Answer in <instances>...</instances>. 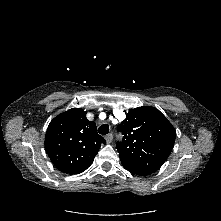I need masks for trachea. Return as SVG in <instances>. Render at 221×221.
I'll return each mask as SVG.
<instances>
[{
  "label": "trachea",
  "mask_w": 221,
  "mask_h": 221,
  "mask_svg": "<svg viewBox=\"0 0 221 221\" xmlns=\"http://www.w3.org/2000/svg\"><path fill=\"white\" fill-rule=\"evenodd\" d=\"M98 132L101 134V135H105L109 132V126L107 124H103L101 125L99 128H98Z\"/></svg>",
  "instance_id": "trachea-1"
}]
</instances>
